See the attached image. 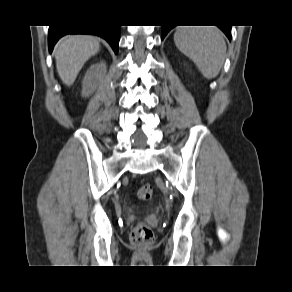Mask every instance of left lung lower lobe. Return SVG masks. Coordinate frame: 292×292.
<instances>
[{
  "instance_id": "obj_1",
  "label": "left lung lower lobe",
  "mask_w": 292,
  "mask_h": 292,
  "mask_svg": "<svg viewBox=\"0 0 292 292\" xmlns=\"http://www.w3.org/2000/svg\"><path fill=\"white\" fill-rule=\"evenodd\" d=\"M175 26H162V39L167 35V33ZM220 29L231 39V26H218Z\"/></svg>"
}]
</instances>
